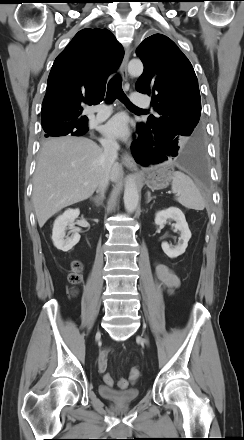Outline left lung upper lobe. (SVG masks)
<instances>
[{
    "label": "left lung upper lobe",
    "instance_id": "left-lung-upper-lobe-1",
    "mask_svg": "<svg viewBox=\"0 0 244 440\" xmlns=\"http://www.w3.org/2000/svg\"><path fill=\"white\" fill-rule=\"evenodd\" d=\"M136 53L144 64L136 90L152 97L157 113L149 116L146 125L158 127L172 141L178 142L181 136L201 137V98L188 58L162 34L143 40Z\"/></svg>",
    "mask_w": 244,
    "mask_h": 440
}]
</instances>
